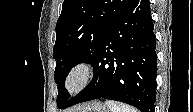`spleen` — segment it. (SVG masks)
Wrapping results in <instances>:
<instances>
[{
  "label": "spleen",
  "mask_w": 193,
  "mask_h": 112,
  "mask_svg": "<svg viewBox=\"0 0 193 112\" xmlns=\"http://www.w3.org/2000/svg\"><path fill=\"white\" fill-rule=\"evenodd\" d=\"M105 105L111 112H138V110L134 107L112 100H107Z\"/></svg>",
  "instance_id": "1"
}]
</instances>
